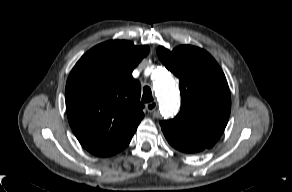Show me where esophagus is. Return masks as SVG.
Listing matches in <instances>:
<instances>
[{"label":"esophagus","mask_w":292,"mask_h":192,"mask_svg":"<svg viewBox=\"0 0 292 192\" xmlns=\"http://www.w3.org/2000/svg\"><path fill=\"white\" fill-rule=\"evenodd\" d=\"M156 108H157V102L156 101H153V102H150V103L146 104V109L150 113L153 112Z\"/></svg>","instance_id":"34e87169"}]
</instances>
